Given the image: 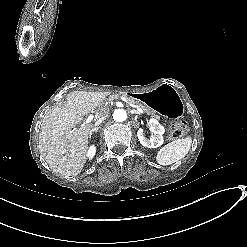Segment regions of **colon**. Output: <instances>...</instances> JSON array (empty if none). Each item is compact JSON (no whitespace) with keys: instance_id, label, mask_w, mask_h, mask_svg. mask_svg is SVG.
<instances>
[{"instance_id":"1","label":"colon","mask_w":247,"mask_h":247,"mask_svg":"<svg viewBox=\"0 0 247 247\" xmlns=\"http://www.w3.org/2000/svg\"><path fill=\"white\" fill-rule=\"evenodd\" d=\"M187 130V124L185 121L177 120L172 124L170 138L172 140L179 139Z\"/></svg>"}]
</instances>
